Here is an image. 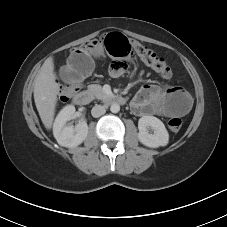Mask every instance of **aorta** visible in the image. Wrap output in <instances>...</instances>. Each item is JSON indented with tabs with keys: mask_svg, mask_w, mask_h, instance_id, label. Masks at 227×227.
I'll list each match as a JSON object with an SVG mask.
<instances>
[{
	"mask_svg": "<svg viewBox=\"0 0 227 227\" xmlns=\"http://www.w3.org/2000/svg\"><path fill=\"white\" fill-rule=\"evenodd\" d=\"M110 111L112 113H118L120 111L119 104H117V103L112 104L111 107H110Z\"/></svg>",
	"mask_w": 227,
	"mask_h": 227,
	"instance_id": "762f6f07",
	"label": "aorta"
}]
</instances>
